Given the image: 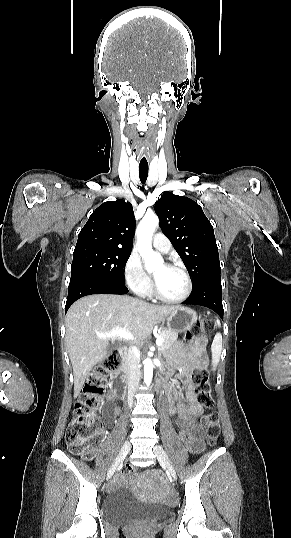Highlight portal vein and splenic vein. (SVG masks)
Masks as SVG:
<instances>
[{
    "label": "portal vein and splenic vein",
    "mask_w": 291,
    "mask_h": 538,
    "mask_svg": "<svg viewBox=\"0 0 291 538\" xmlns=\"http://www.w3.org/2000/svg\"><path fill=\"white\" fill-rule=\"evenodd\" d=\"M97 335L99 337H102V338H115V337H120L122 339H125V340H134V337L133 335L126 329H114V330H111L110 332H106V333H97ZM163 341L164 339L162 338L161 335H158L156 337V345L157 346H161L163 344Z\"/></svg>",
    "instance_id": "1"
}]
</instances>
